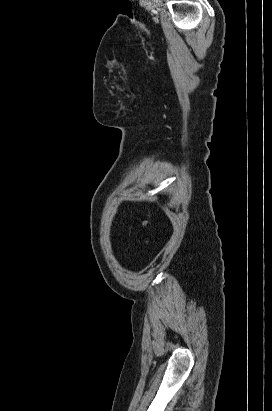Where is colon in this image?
I'll list each match as a JSON object with an SVG mask.
<instances>
[{"instance_id": "5ec220e1", "label": "colon", "mask_w": 272, "mask_h": 411, "mask_svg": "<svg viewBox=\"0 0 272 411\" xmlns=\"http://www.w3.org/2000/svg\"><path fill=\"white\" fill-rule=\"evenodd\" d=\"M148 242V232H146L145 238H144V244H147Z\"/></svg>"}]
</instances>
